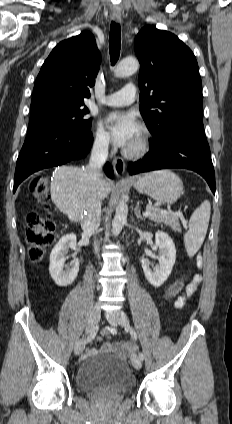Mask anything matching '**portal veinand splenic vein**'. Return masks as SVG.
Here are the masks:
<instances>
[{"label": "portal vein and splenic vein", "instance_id": "18ae733b", "mask_svg": "<svg viewBox=\"0 0 232 424\" xmlns=\"http://www.w3.org/2000/svg\"><path fill=\"white\" fill-rule=\"evenodd\" d=\"M163 213H165V211H163ZM181 218H183V216H182V214L181 213H177ZM143 215L145 216V217H148V216H150L151 215V212L150 211H148V210H146L144 213H143ZM183 225L184 226H186L187 224H186V222L185 221H183Z\"/></svg>", "mask_w": 232, "mask_h": 424}]
</instances>
